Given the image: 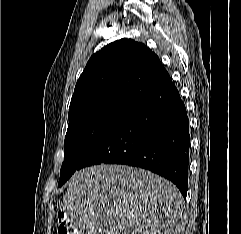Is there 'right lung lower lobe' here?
<instances>
[{"instance_id":"obj_1","label":"right lung lower lobe","mask_w":241,"mask_h":234,"mask_svg":"<svg viewBox=\"0 0 241 234\" xmlns=\"http://www.w3.org/2000/svg\"><path fill=\"white\" fill-rule=\"evenodd\" d=\"M189 147L187 111L169 77L89 151L80 169L101 163L141 167L172 181L186 198Z\"/></svg>"}]
</instances>
